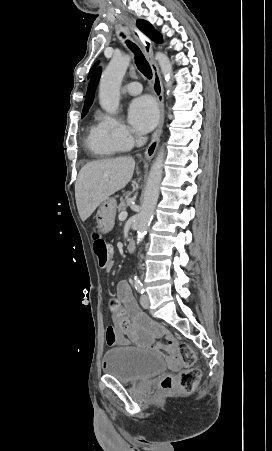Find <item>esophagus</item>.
<instances>
[{"instance_id": "34e87169", "label": "esophagus", "mask_w": 272, "mask_h": 451, "mask_svg": "<svg viewBox=\"0 0 272 451\" xmlns=\"http://www.w3.org/2000/svg\"><path fill=\"white\" fill-rule=\"evenodd\" d=\"M135 37L142 43L145 56L151 66L152 73H153L152 88H153V92L156 96V99H157V102L159 105V111H160V120H159L158 126H157L155 132L153 133L151 142L149 143V145L145 151V158L147 160H151V158H153V156L155 155V152L159 145V139H160L163 124H164L163 85H162L159 67L154 59L151 40L141 33H137L135 35Z\"/></svg>"}]
</instances>
